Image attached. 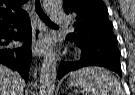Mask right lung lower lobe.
Here are the masks:
<instances>
[{"label": "right lung lower lobe", "instance_id": "98d812e1", "mask_svg": "<svg viewBox=\"0 0 135 95\" xmlns=\"http://www.w3.org/2000/svg\"><path fill=\"white\" fill-rule=\"evenodd\" d=\"M14 28L19 31L17 35H13ZM13 39L23 42V45L20 47L10 45ZM31 41L32 30L28 17L20 24L0 26V64L19 72L26 82L32 60Z\"/></svg>", "mask_w": 135, "mask_h": 95}]
</instances>
